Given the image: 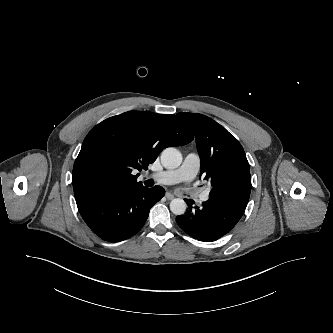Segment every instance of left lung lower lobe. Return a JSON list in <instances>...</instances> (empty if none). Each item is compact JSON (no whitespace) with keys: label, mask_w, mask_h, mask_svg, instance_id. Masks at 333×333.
I'll list each match as a JSON object with an SVG mask.
<instances>
[{"label":"left lung lower lobe","mask_w":333,"mask_h":333,"mask_svg":"<svg viewBox=\"0 0 333 333\" xmlns=\"http://www.w3.org/2000/svg\"><path fill=\"white\" fill-rule=\"evenodd\" d=\"M251 191L250 173L234 175L216 185L203 208L193 207L194 201L185 199L188 210L176 222L191 237L212 242L227 234L240 220L248 204Z\"/></svg>","instance_id":"1"}]
</instances>
